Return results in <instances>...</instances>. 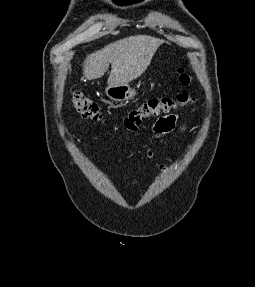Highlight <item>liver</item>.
<instances>
[{"mask_svg":"<svg viewBox=\"0 0 255 287\" xmlns=\"http://www.w3.org/2000/svg\"><path fill=\"white\" fill-rule=\"evenodd\" d=\"M161 44L163 40L152 36H130L113 42L103 50L87 56L83 64V78H102L111 64L108 86L128 84L147 70Z\"/></svg>","mask_w":255,"mask_h":287,"instance_id":"liver-1","label":"liver"}]
</instances>
